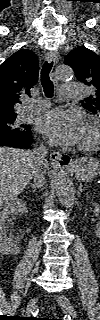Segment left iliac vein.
<instances>
[{
  "instance_id": "left-iliac-vein-1",
  "label": "left iliac vein",
  "mask_w": 100,
  "mask_h": 320,
  "mask_svg": "<svg viewBox=\"0 0 100 320\" xmlns=\"http://www.w3.org/2000/svg\"><path fill=\"white\" fill-rule=\"evenodd\" d=\"M57 301L60 305V307L70 316H72L74 319L77 318V312L74 308V306L72 305V303L70 302V300L65 296V295H58L57 296Z\"/></svg>"
}]
</instances>
